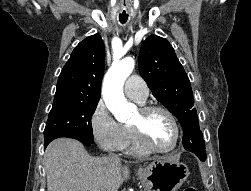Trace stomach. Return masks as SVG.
<instances>
[{
	"mask_svg": "<svg viewBox=\"0 0 251 191\" xmlns=\"http://www.w3.org/2000/svg\"><path fill=\"white\" fill-rule=\"evenodd\" d=\"M190 171L186 163L159 155L147 167H139L138 177L145 191H177Z\"/></svg>",
	"mask_w": 251,
	"mask_h": 191,
	"instance_id": "0dacf381",
	"label": "stomach"
}]
</instances>
